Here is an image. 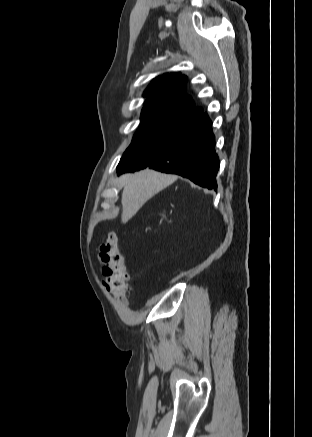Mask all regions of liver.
Returning <instances> with one entry per match:
<instances>
[{
	"label": "liver",
	"mask_w": 312,
	"mask_h": 437,
	"mask_svg": "<svg viewBox=\"0 0 312 437\" xmlns=\"http://www.w3.org/2000/svg\"><path fill=\"white\" fill-rule=\"evenodd\" d=\"M177 178L149 169L121 176L120 182L124 187L121 199L122 223L128 222L150 198L170 186Z\"/></svg>",
	"instance_id": "6515ba94"
}]
</instances>
